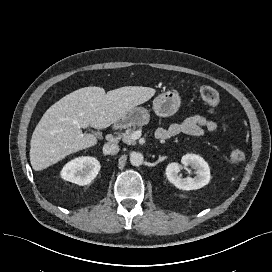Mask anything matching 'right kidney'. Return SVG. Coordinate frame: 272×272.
<instances>
[{
	"label": "right kidney",
	"instance_id": "ca27d5eb",
	"mask_svg": "<svg viewBox=\"0 0 272 272\" xmlns=\"http://www.w3.org/2000/svg\"><path fill=\"white\" fill-rule=\"evenodd\" d=\"M100 163L94 157H79L68 162L61 171V177L80 186L88 185L100 171Z\"/></svg>",
	"mask_w": 272,
	"mask_h": 272
}]
</instances>
